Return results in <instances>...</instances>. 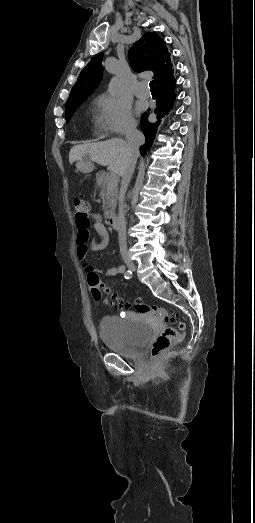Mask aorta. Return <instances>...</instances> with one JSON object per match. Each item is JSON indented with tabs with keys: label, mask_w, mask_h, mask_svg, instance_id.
<instances>
[{
	"label": "aorta",
	"mask_w": 255,
	"mask_h": 523,
	"mask_svg": "<svg viewBox=\"0 0 255 523\" xmlns=\"http://www.w3.org/2000/svg\"><path fill=\"white\" fill-rule=\"evenodd\" d=\"M120 91V81L117 78H112L109 86H108V92L110 95H117Z\"/></svg>",
	"instance_id": "762f6f07"
}]
</instances>
